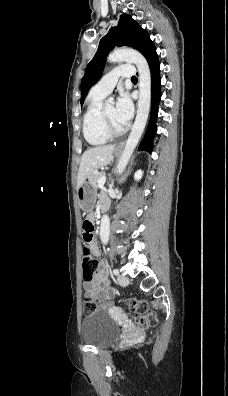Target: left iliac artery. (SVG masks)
I'll list each match as a JSON object with an SVG mask.
<instances>
[{"mask_svg":"<svg viewBox=\"0 0 228 396\" xmlns=\"http://www.w3.org/2000/svg\"><path fill=\"white\" fill-rule=\"evenodd\" d=\"M113 274H114V275H118V274H119L118 269H113Z\"/></svg>","mask_w":228,"mask_h":396,"instance_id":"44dca946","label":"left iliac artery"}]
</instances>
